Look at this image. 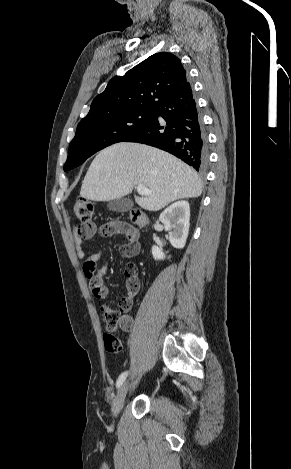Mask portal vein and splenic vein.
Returning <instances> with one entry per match:
<instances>
[{
    "label": "portal vein and splenic vein",
    "mask_w": 291,
    "mask_h": 469,
    "mask_svg": "<svg viewBox=\"0 0 291 469\" xmlns=\"http://www.w3.org/2000/svg\"><path fill=\"white\" fill-rule=\"evenodd\" d=\"M137 192L140 195H150L151 194V191L148 190L144 185H138L137 186Z\"/></svg>",
    "instance_id": "1"
}]
</instances>
